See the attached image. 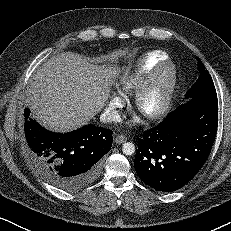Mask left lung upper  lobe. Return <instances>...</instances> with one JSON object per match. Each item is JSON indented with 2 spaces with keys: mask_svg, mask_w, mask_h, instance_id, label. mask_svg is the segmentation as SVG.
I'll return each mask as SVG.
<instances>
[{
  "mask_svg": "<svg viewBox=\"0 0 231 231\" xmlns=\"http://www.w3.org/2000/svg\"><path fill=\"white\" fill-rule=\"evenodd\" d=\"M198 60V70L200 71V76L196 82L192 85L191 89L186 93V98L194 97H205L217 95L213 80L209 72L205 69L203 63Z\"/></svg>",
  "mask_w": 231,
  "mask_h": 231,
  "instance_id": "5c2ea615",
  "label": "left lung upper lobe"
}]
</instances>
